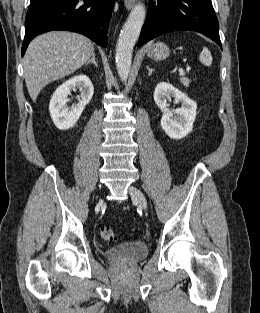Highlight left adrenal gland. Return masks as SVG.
<instances>
[{
	"mask_svg": "<svg viewBox=\"0 0 260 313\" xmlns=\"http://www.w3.org/2000/svg\"><path fill=\"white\" fill-rule=\"evenodd\" d=\"M147 70H148V75L150 76L152 74V72L154 71V69L150 68L149 66H147Z\"/></svg>",
	"mask_w": 260,
	"mask_h": 313,
	"instance_id": "1",
	"label": "left adrenal gland"
}]
</instances>
